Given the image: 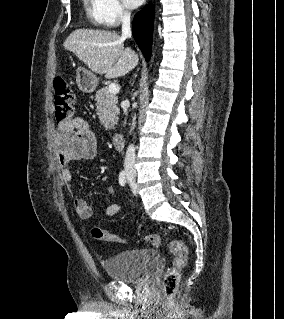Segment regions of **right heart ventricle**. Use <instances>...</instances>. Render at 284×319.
Listing matches in <instances>:
<instances>
[{
	"label": "right heart ventricle",
	"instance_id": "1",
	"mask_svg": "<svg viewBox=\"0 0 284 319\" xmlns=\"http://www.w3.org/2000/svg\"><path fill=\"white\" fill-rule=\"evenodd\" d=\"M88 19L95 25H103L100 0H83Z\"/></svg>",
	"mask_w": 284,
	"mask_h": 319
}]
</instances>
